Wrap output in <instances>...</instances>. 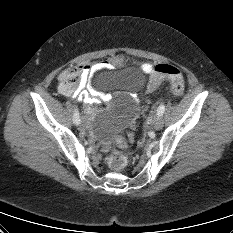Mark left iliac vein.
Returning a JSON list of instances; mask_svg holds the SVG:
<instances>
[{
  "label": "left iliac vein",
  "mask_w": 233,
  "mask_h": 233,
  "mask_svg": "<svg viewBox=\"0 0 233 233\" xmlns=\"http://www.w3.org/2000/svg\"><path fill=\"white\" fill-rule=\"evenodd\" d=\"M152 125H153V128L155 130H160L162 128V126H163V119H162V117L158 116V115L154 116Z\"/></svg>",
  "instance_id": "left-iliac-vein-1"
}]
</instances>
